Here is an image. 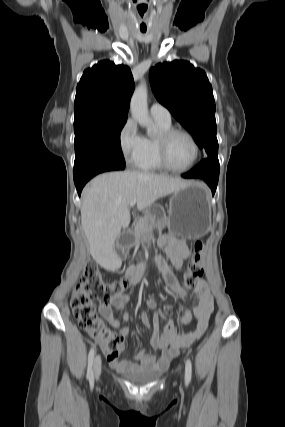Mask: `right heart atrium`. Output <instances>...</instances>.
<instances>
[{"label": "right heart atrium", "mask_w": 285, "mask_h": 427, "mask_svg": "<svg viewBox=\"0 0 285 427\" xmlns=\"http://www.w3.org/2000/svg\"><path fill=\"white\" fill-rule=\"evenodd\" d=\"M118 142L125 161L135 164L142 151L144 137L139 132L137 123L133 118H128L122 125Z\"/></svg>", "instance_id": "d8ad5b80"}]
</instances>
